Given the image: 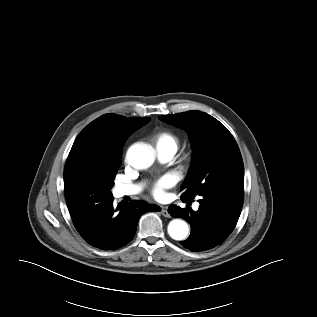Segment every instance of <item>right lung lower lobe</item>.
Listing matches in <instances>:
<instances>
[{
  "label": "right lung lower lobe",
  "instance_id": "1",
  "mask_svg": "<svg viewBox=\"0 0 317 317\" xmlns=\"http://www.w3.org/2000/svg\"><path fill=\"white\" fill-rule=\"evenodd\" d=\"M66 201L79 234L88 244L103 250H115L129 243L139 218L146 212L161 210L142 200L125 202L115 209L112 197L95 202L68 195Z\"/></svg>",
  "mask_w": 317,
  "mask_h": 317
}]
</instances>
